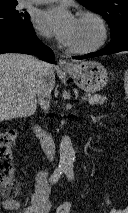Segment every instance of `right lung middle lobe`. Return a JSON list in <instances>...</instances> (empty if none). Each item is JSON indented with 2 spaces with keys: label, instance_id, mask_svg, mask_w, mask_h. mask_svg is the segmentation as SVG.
Here are the masks:
<instances>
[{
  "label": "right lung middle lobe",
  "instance_id": "1",
  "mask_svg": "<svg viewBox=\"0 0 128 213\" xmlns=\"http://www.w3.org/2000/svg\"><path fill=\"white\" fill-rule=\"evenodd\" d=\"M16 5L0 6V28L11 29L31 24L28 13L18 11Z\"/></svg>",
  "mask_w": 128,
  "mask_h": 213
}]
</instances>
